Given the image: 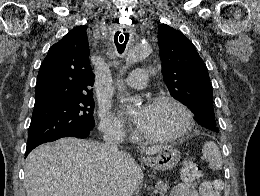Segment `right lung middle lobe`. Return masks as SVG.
<instances>
[{
  "label": "right lung middle lobe",
  "mask_w": 260,
  "mask_h": 196,
  "mask_svg": "<svg viewBox=\"0 0 260 196\" xmlns=\"http://www.w3.org/2000/svg\"><path fill=\"white\" fill-rule=\"evenodd\" d=\"M93 93L57 96L48 102L34 106L28 132L27 148L91 131L94 126Z\"/></svg>",
  "instance_id": "dd1d6c3e"
}]
</instances>
